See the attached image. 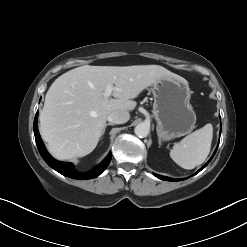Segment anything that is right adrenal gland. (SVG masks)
<instances>
[{
	"label": "right adrenal gland",
	"instance_id": "right-adrenal-gland-1",
	"mask_svg": "<svg viewBox=\"0 0 247 247\" xmlns=\"http://www.w3.org/2000/svg\"><path fill=\"white\" fill-rule=\"evenodd\" d=\"M109 125H114L112 123H107L105 124L104 128H103V131H102V135H104L105 131H106V127L109 126Z\"/></svg>",
	"mask_w": 247,
	"mask_h": 247
}]
</instances>
